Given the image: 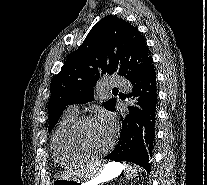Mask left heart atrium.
<instances>
[{
  "label": "left heart atrium",
  "instance_id": "obj_1",
  "mask_svg": "<svg viewBox=\"0 0 207 185\" xmlns=\"http://www.w3.org/2000/svg\"><path fill=\"white\" fill-rule=\"evenodd\" d=\"M97 120L104 125L110 131L114 130L115 127V120L111 113L108 111H101L97 117Z\"/></svg>",
  "mask_w": 207,
  "mask_h": 185
}]
</instances>
